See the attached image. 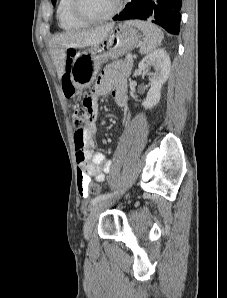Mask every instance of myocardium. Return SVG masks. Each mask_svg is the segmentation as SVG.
<instances>
[{
	"instance_id": "myocardium-1",
	"label": "myocardium",
	"mask_w": 227,
	"mask_h": 298,
	"mask_svg": "<svg viewBox=\"0 0 227 298\" xmlns=\"http://www.w3.org/2000/svg\"><path fill=\"white\" fill-rule=\"evenodd\" d=\"M81 2H82L81 0H72L71 10L74 17L85 24H97V23L106 22L112 19L113 17H115L123 7V0H117L114 9L110 13L99 18H93L83 13Z\"/></svg>"
}]
</instances>
